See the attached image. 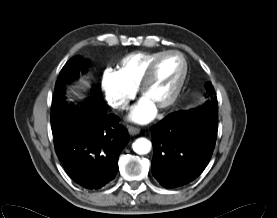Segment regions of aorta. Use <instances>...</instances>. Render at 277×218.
Segmentation results:
<instances>
[{"mask_svg": "<svg viewBox=\"0 0 277 218\" xmlns=\"http://www.w3.org/2000/svg\"><path fill=\"white\" fill-rule=\"evenodd\" d=\"M151 142L144 137L138 138L133 143V150L139 155L148 154L151 150Z\"/></svg>", "mask_w": 277, "mask_h": 218, "instance_id": "1", "label": "aorta"}]
</instances>
